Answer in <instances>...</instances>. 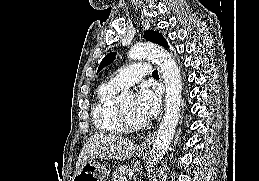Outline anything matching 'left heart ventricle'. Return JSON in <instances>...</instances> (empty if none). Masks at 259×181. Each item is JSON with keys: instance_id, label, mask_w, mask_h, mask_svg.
<instances>
[{"instance_id": "1", "label": "left heart ventricle", "mask_w": 259, "mask_h": 181, "mask_svg": "<svg viewBox=\"0 0 259 181\" xmlns=\"http://www.w3.org/2000/svg\"><path fill=\"white\" fill-rule=\"evenodd\" d=\"M121 109L130 117L132 118L134 121L137 122H142L136 115L135 113V103L133 100L128 101L127 103H125Z\"/></svg>"}]
</instances>
